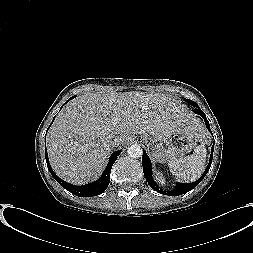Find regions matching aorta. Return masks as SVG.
<instances>
[{
  "label": "aorta",
  "instance_id": "aorta-1",
  "mask_svg": "<svg viewBox=\"0 0 253 253\" xmlns=\"http://www.w3.org/2000/svg\"><path fill=\"white\" fill-rule=\"evenodd\" d=\"M142 153H143L142 148L137 144L131 145L130 147H128L127 150V154L131 158H139L142 156Z\"/></svg>",
  "mask_w": 253,
  "mask_h": 253
}]
</instances>
